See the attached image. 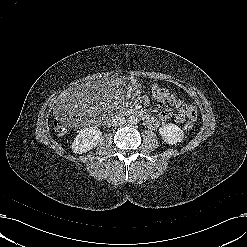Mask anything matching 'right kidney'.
<instances>
[{"label":"right kidney","instance_id":"1","mask_svg":"<svg viewBox=\"0 0 247 247\" xmlns=\"http://www.w3.org/2000/svg\"><path fill=\"white\" fill-rule=\"evenodd\" d=\"M102 132L96 127H88L78 132L71 145L74 153L82 154L96 147L101 141Z\"/></svg>","mask_w":247,"mask_h":247}]
</instances>
